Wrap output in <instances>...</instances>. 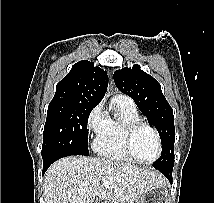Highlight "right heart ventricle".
<instances>
[{
    "mask_svg": "<svg viewBox=\"0 0 214 203\" xmlns=\"http://www.w3.org/2000/svg\"><path fill=\"white\" fill-rule=\"evenodd\" d=\"M112 103L117 116L108 117L106 128L94 142V149L97 154L107 159L133 163L124 148V132L129 124L140 121V115L128 98L115 96Z\"/></svg>",
    "mask_w": 214,
    "mask_h": 203,
    "instance_id": "obj_1",
    "label": "right heart ventricle"
}]
</instances>
